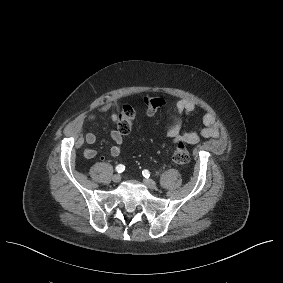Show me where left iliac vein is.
Returning <instances> with one entry per match:
<instances>
[{
  "label": "left iliac vein",
  "instance_id": "4c4485c4",
  "mask_svg": "<svg viewBox=\"0 0 283 283\" xmlns=\"http://www.w3.org/2000/svg\"><path fill=\"white\" fill-rule=\"evenodd\" d=\"M144 183L150 189H155L156 188V183L152 179H144Z\"/></svg>",
  "mask_w": 283,
  "mask_h": 283
}]
</instances>
